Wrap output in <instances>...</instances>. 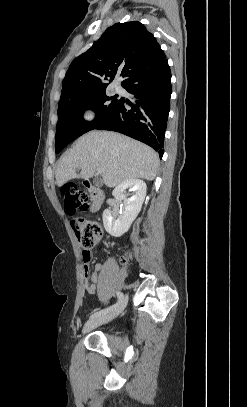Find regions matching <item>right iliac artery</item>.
Returning a JSON list of instances; mask_svg holds the SVG:
<instances>
[{
    "mask_svg": "<svg viewBox=\"0 0 247 407\" xmlns=\"http://www.w3.org/2000/svg\"><path fill=\"white\" fill-rule=\"evenodd\" d=\"M116 294H117V297H118L117 303L111 305V306L108 307V308H105V309H102V310H100V311L95 312L94 314H92V315L90 316V318H91V319L97 318V317H99V316H101V315H104V314H107L108 312H110V311H112L113 309H115V308L123 301V299H124V295H123L122 292L118 291Z\"/></svg>",
    "mask_w": 247,
    "mask_h": 407,
    "instance_id": "82829eb1",
    "label": "right iliac artery"
}]
</instances>
